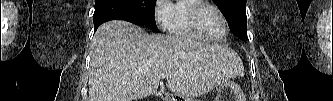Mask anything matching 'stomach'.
I'll use <instances>...</instances> for the list:
<instances>
[{
    "instance_id": "1",
    "label": "stomach",
    "mask_w": 333,
    "mask_h": 101,
    "mask_svg": "<svg viewBox=\"0 0 333 101\" xmlns=\"http://www.w3.org/2000/svg\"><path fill=\"white\" fill-rule=\"evenodd\" d=\"M217 97L214 101H246L241 87L232 80L218 85ZM190 101V100H183Z\"/></svg>"
}]
</instances>
